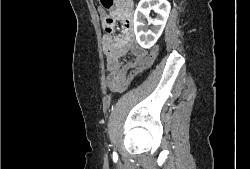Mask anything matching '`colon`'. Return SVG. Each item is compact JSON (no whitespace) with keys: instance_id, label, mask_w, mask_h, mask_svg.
<instances>
[{"instance_id":"1","label":"colon","mask_w":250,"mask_h":169,"mask_svg":"<svg viewBox=\"0 0 250 169\" xmlns=\"http://www.w3.org/2000/svg\"><path fill=\"white\" fill-rule=\"evenodd\" d=\"M100 4L103 8L109 10L115 6L114 0H100ZM112 25L109 22V26H107V30L111 31ZM161 53L160 44H153V48L148 53V55L144 58V60L135 68L130 70V75L125 78L124 81H121L120 90L123 93L124 90H127L128 86H132V82L137 77V74H141V72H145V69H149V66H153V62L156 59L157 55Z\"/></svg>"}]
</instances>
